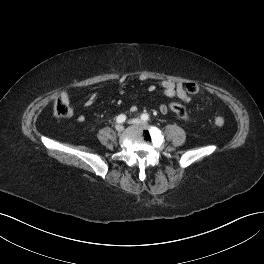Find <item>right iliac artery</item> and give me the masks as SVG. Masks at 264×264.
I'll return each mask as SVG.
<instances>
[{
    "label": "right iliac artery",
    "instance_id": "right-iliac-artery-1",
    "mask_svg": "<svg viewBox=\"0 0 264 264\" xmlns=\"http://www.w3.org/2000/svg\"><path fill=\"white\" fill-rule=\"evenodd\" d=\"M125 120H126V116L123 115V114L119 115V116L117 117V119H116V121H117L118 123H123Z\"/></svg>",
    "mask_w": 264,
    "mask_h": 264
}]
</instances>
